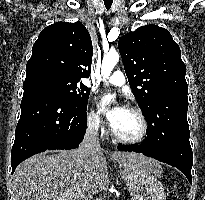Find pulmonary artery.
Returning <instances> with one entry per match:
<instances>
[{
  "label": "pulmonary artery",
  "instance_id": "pulmonary-artery-1",
  "mask_svg": "<svg viewBox=\"0 0 205 200\" xmlns=\"http://www.w3.org/2000/svg\"><path fill=\"white\" fill-rule=\"evenodd\" d=\"M107 81L115 86H123L126 82L125 76L121 71H115Z\"/></svg>",
  "mask_w": 205,
  "mask_h": 200
}]
</instances>
